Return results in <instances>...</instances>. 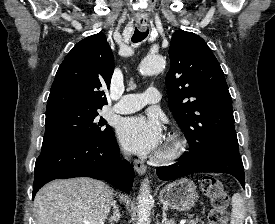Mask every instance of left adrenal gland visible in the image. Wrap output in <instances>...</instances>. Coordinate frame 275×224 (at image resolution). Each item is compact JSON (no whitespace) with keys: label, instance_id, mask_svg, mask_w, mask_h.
Wrapping results in <instances>:
<instances>
[{"label":"left adrenal gland","instance_id":"a2214340","mask_svg":"<svg viewBox=\"0 0 275 224\" xmlns=\"http://www.w3.org/2000/svg\"><path fill=\"white\" fill-rule=\"evenodd\" d=\"M161 224H175V223L173 219H167V215L165 211H163Z\"/></svg>","mask_w":275,"mask_h":224}]
</instances>
